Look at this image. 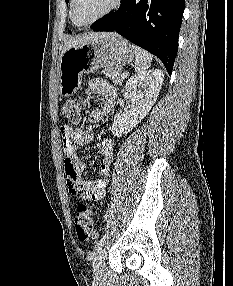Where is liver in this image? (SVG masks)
Returning <instances> with one entry per match:
<instances>
[{"label":"liver","instance_id":"1","mask_svg":"<svg viewBox=\"0 0 233 286\" xmlns=\"http://www.w3.org/2000/svg\"><path fill=\"white\" fill-rule=\"evenodd\" d=\"M113 33H106V32H97V33H89L87 35H83V36H80V37H76V38H73L71 40H69V42H67L64 46V49L62 51V54L67 51L69 48L71 47H74V46H77V45H81V44H84V43H87L89 41H93V40H96L100 37H103V36H106V35H112Z\"/></svg>","mask_w":233,"mask_h":286}]
</instances>
